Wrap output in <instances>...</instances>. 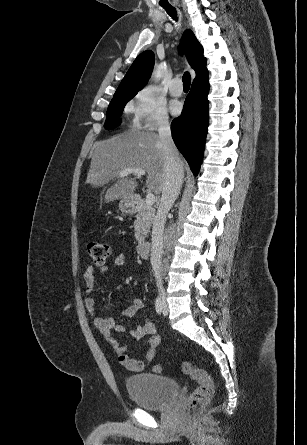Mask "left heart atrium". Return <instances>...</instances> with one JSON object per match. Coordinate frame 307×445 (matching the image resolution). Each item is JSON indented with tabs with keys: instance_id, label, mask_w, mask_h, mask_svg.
Here are the masks:
<instances>
[{
	"instance_id": "obj_1",
	"label": "left heart atrium",
	"mask_w": 307,
	"mask_h": 445,
	"mask_svg": "<svg viewBox=\"0 0 307 445\" xmlns=\"http://www.w3.org/2000/svg\"><path fill=\"white\" fill-rule=\"evenodd\" d=\"M170 110L172 112V114L174 115H178L181 112V104L178 101H171L170 102Z\"/></svg>"
}]
</instances>
